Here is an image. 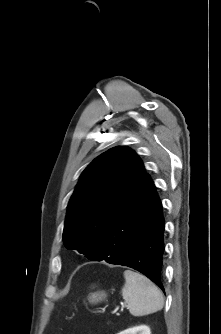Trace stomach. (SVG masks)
<instances>
[{
	"label": "stomach",
	"instance_id": "obj_1",
	"mask_svg": "<svg viewBox=\"0 0 221 334\" xmlns=\"http://www.w3.org/2000/svg\"><path fill=\"white\" fill-rule=\"evenodd\" d=\"M106 296L107 295L104 291H97V292L91 293L89 295L88 300L90 303L97 304V303L102 302L106 298Z\"/></svg>",
	"mask_w": 221,
	"mask_h": 334
}]
</instances>
